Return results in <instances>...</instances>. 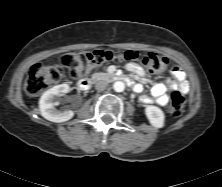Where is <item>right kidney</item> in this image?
Instances as JSON below:
<instances>
[{
    "instance_id": "1",
    "label": "right kidney",
    "mask_w": 222,
    "mask_h": 187,
    "mask_svg": "<svg viewBox=\"0 0 222 187\" xmlns=\"http://www.w3.org/2000/svg\"><path fill=\"white\" fill-rule=\"evenodd\" d=\"M69 91L70 87L68 84L56 85L45 91L39 100L41 115L45 119L56 123L70 120L74 116V112L71 110H57L55 106L58 105V102H53L56 96L68 93Z\"/></svg>"
}]
</instances>
